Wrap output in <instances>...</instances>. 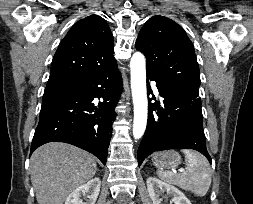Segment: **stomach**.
Returning <instances> with one entry per match:
<instances>
[{"mask_svg":"<svg viewBox=\"0 0 253 204\" xmlns=\"http://www.w3.org/2000/svg\"><path fill=\"white\" fill-rule=\"evenodd\" d=\"M153 163L162 170L175 168L181 163V156L176 151L158 153L153 157Z\"/></svg>","mask_w":253,"mask_h":204,"instance_id":"1","label":"stomach"}]
</instances>
